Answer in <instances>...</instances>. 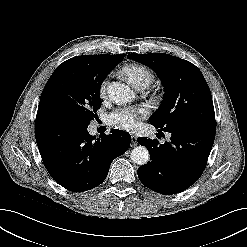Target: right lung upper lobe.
Wrapping results in <instances>:
<instances>
[{
	"label": "right lung upper lobe",
	"mask_w": 247,
	"mask_h": 247,
	"mask_svg": "<svg viewBox=\"0 0 247 247\" xmlns=\"http://www.w3.org/2000/svg\"><path fill=\"white\" fill-rule=\"evenodd\" d=\"M81 57L99 66L101 69L109 72L115 65H117L123 60L125 55L124 54H120V55L103 54V55H84Z\"/></svg>",
	"instance_id": "cb5924a9"
}]
</instances>
